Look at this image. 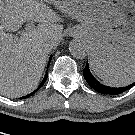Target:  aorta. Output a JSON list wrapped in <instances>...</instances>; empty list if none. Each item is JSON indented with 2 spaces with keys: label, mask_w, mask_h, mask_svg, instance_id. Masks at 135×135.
<instances>
[{
  "label": "aorta",
  "mask_w": 135,
  "mask_h": 135,
  "mask_svg": "<svg viewBox=\"0 0 135 135\" xmlns=\"http://www.w3.org/2000/svg\"><path fill=\"white\" fill-rule=\"evenodd\" d=\"M69 50L73 57L83 59L87 56L88 46L84 41L74 39L69 44Z\"/></svg>",
  "instance_id": "1"
}]
</instances>
